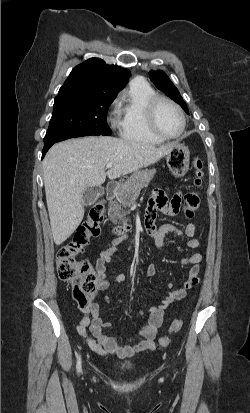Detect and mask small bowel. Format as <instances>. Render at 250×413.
I'll use <instances>...</instances> for the list:
<instances>
[{
    "label": "small bowel",
    "mask_w": 250,
    "mask_h": 413,
    "mask_svg": "<svg viewBox=\"0 0 250 413\" xmlns=\"http://www.w3.org/2000/svg\"><path fill=\"white\" fill-rule=\"evenodd\" d=\"M183 200L184 195L182 193H175L171 201L168 202L165 191L155 190L148 202L145 227L148 236L153 237L155 246L159 251H162L164 241L168 235L187 238L185 246L189 249H197L201 246L200 239L195 238L197 234V225L195 223L187 224L183 230L170 223L162 224L159 227H156L154 223L157 210L169 216L178 215ZM120 241L121 239H115L109 242L100 252L96 260V292L109 290L113 285L125 281L123 274H119L115 276L113 280H109L105 273L106 263L110 261L116 253ZM202 260L203 256L200 253H194L179 259L181 265L191 266L188 279L181 288H175L172 282L168 283L169 292L161 302L156 306L149 307L147 312L141 313L147 316V320L134 336L122 340L117 336L104 333V329L110 328L112 323L101 319L99 316V307L94 303L88 306H80L84 317L79 320L76 326L78 334L86 340V343L93 352L101 356L115 355L118 358L124 359L141 352L156 350L155 338L162 325L165 309L172 302L183 299L187 295L188 290L197 285ZM156 271V265L150 263L147 267V275L154 276ZM105 301L106 303H110L108 295L105 296Z\"/></svg>",
    "instance_id": "c3829d8e"
}]
</instances>
